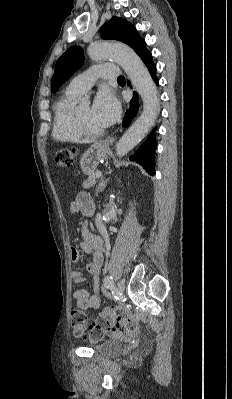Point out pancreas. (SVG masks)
Here are the masks:
<instances>
[{
	"label": "pancreas",
	"instance_id": "pancreas-1",
	"mask_svg": "<svg viewBox=\"0 0 232 399\" xmlns=\"http://www.w3.org/2000/svg\"><path fill=\"white\" fill-rule=\"evenodd\" d=\"M97 172H100V170H96V172H93V174H90L88 180H85V182H83L82 186H83V188H85V190H89V188H93L94 184H96Z\"/></svg>",
	"mask_w": 232,
	"mask_h": 399
}]
</instances>
